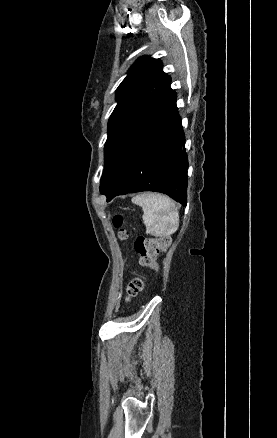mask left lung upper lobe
Masks as SVG:
<instances>
[{
  "instance_id": "5c2ea615",
  "label": "left lung upper lobe",
  "mask_w": 277,
  "mask_h": 438,
  "mask_svg": "<svg viewBox=\"0 0 277 438\" xmlns=\"http://www.w3.org/2000/svg\"><path fill=\"white\" fill-rule=\"evenodd\" d=\"M171 78L162 71L159 59L142 57L131 66L116 90L117 105L108 122L105 143V168L100 192L104 193L116 180L129 150L138 112L150 94L167 100L176 107V93L170 88Z\"/></svg>"
}]
</instances>
